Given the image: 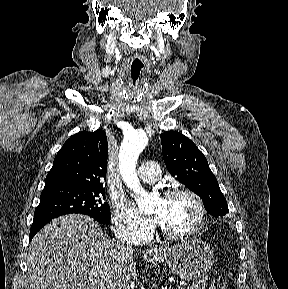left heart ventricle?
I'll return each instance as SVG.
<instances>
[{
	"instance_id": "obj_1",
	"label": "left heart ventricle",
	"mask_w": 288,
	"mask_h": 289,
	"mask_svg": "<svg viewBox=\"0 0 288 289\" xmlns=\"http://www.w3.org/2000/svg\"><path fill=\"white\" fill-rule=\"evenodd\" d=\"M151 213L156 216L159 224L171 232H185L197 220L198 210L195 202L188 196H179L168 200L158 199Z\"/></svg>"
}]
</instances>
